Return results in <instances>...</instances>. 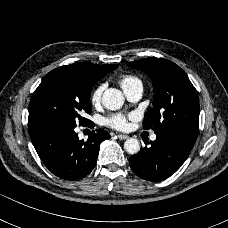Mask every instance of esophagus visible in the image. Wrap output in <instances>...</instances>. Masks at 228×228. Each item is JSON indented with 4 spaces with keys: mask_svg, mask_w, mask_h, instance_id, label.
Returning <instances> with one entry per match:
<instances>
[{
    "mask_svg": "<svg viewBox=\"0 0 228 228\" xmlns=\"http://www.w3.org/2000/svg\"><path fill=\"white\" fill-rule=\"evenodd\" d=\"M117 137H118L120 140H126V139H128V135H126V134H118Z\"/></svg>",
    "mask_w": 228,
    "mask_h": 228,
    "instance_id": "34e87169",
    "label": "esophagus"
}]
</instances>
